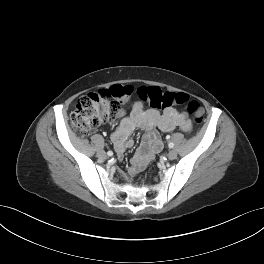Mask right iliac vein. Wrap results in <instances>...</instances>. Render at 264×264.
<instances>
[{"label":"right iliac vein","instance_id":"obj_1","mask_svg":"<svg viewBox=\"0 0 264 264\" xmlns=\"http://www.w3.org/2000/svg\"><path fill=\"white\" fill-rule=\"evenodd\" d=\"M97 155H98L99 158H102V159H106L107 158V155H106V153L103 150L99 151L97 153Z\"/></svg>","mask_w":264,"mask_h":264}]
</instances>
